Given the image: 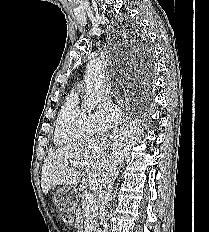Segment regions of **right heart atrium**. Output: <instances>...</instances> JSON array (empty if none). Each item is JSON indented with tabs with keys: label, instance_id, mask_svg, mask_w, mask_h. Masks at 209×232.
<instances>
[{
	"label": "right heart atrium",
	"instance_id": "obj_1",
	"mask_svg": "<svg viewBox=\"0 0 209 232\" xmlns=\"http://www.w3.org/2000/svg\"><path fill=\"white\" fill-rule=\"evenodd\" d=\"M119 117V109L110 100L102 101L91 114L92 123L97 132H102L117 123Z\"/></svg>",
	"mask_w": 209,
	"mask_h": 232
}]
</instances>
